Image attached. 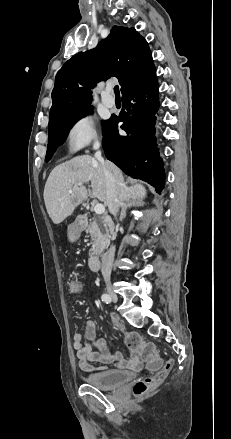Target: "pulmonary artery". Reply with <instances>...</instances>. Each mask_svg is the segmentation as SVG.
I'll return each mask as SVG.
<instances>
[{
	"mask_svg": "<svg viewBox=\"0 0 231 439\" xmlns=\"http://www.w3.org/2000/svg\"><path fill=\"white\" fill-rule=\"evenodd\" d=\"M110 89H107L102 95V103L108 107L112 108L115 105L114 99L110 96Z\"/></svg>",
	"mask_w": 231,
	"mask_h": 439,
	"instance_id": "e3ab8cb5",
	"label": "pulmonary artery"
}]
</instances>
